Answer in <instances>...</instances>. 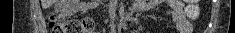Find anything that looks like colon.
I'll list each match as a JSON object with an SVG mask.
<instances>
[{"label":"colon","mask_w":235,"mask_h":33,"mask_svg":"<svg viewBox=\"0 0 235 33\" xmlns=\"http://www.w3.org/2000/svg\"><path fill=\"white\" fill-rule=\"evenodd\" d=\"M186 14L189 18H196L199 13L196 0H188ZM51 33H92L94 22L91 18L68 19L58 22L55 16L51 17L49 23Z\"/></svg>","instance_id":"5ec220e1"}]
</instances>
